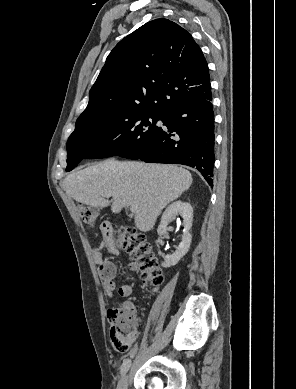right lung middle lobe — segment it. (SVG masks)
<instances>
[{"instance_id": "obj_1", "label": "right lung middle lobe", "mask_w": 296, "mask_h": 389, "mask_svg": "<svg viewBox=\"0 0 296 389\" xmlns=\"http://www.w3.org/2000/svg\"><path fill=\"white\" fill-rule=\"evenodd\" d=\"M165 115L137 108H114L77 119L75 131L67 141V168L82 159L122 156L136 159L161 128L156 122Z\"/></svg>"}]
</instances>
